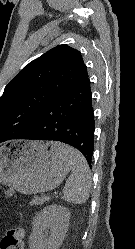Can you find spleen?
Masks as SVG:
<instances>
[{"label":"spleen","mask_w":135,"mask_h":249,"mask_svg":"<svg viewBox=\"0 0 135 249\" xmlns=\"http://www.w3.org/2000/svg\"><path fill=\"white\" fill-rule=\"evenodd\" d=\"M51 148L70 162L71 175L63 189V198L72 204H84L92 186L91 171L84 156L75 148L52 142Z\"/></svg>","instance_id":"1"}]
</instances>
